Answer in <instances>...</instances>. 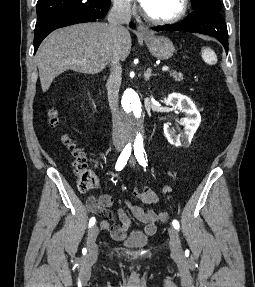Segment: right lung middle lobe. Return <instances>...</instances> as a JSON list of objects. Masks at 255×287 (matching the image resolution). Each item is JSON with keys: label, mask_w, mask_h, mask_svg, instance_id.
Wrapping results in <instances>:
<instances>
[{"label": "right lung middle lobe", "mask_w": 255, "mask_h": 287, "mask_svg": "<svg viewBox=\"0 0 255 287\" xmlns=\"http://www.w3.org/2000/svg\"><path fill=\"white\" fill-rule=\"evenodd\" d=\"M110 0H38L37 21L66 12H85L103 18L109 10Z\"/></svg>", "instance_id": "dd1d6c3e"}]
</instances>
